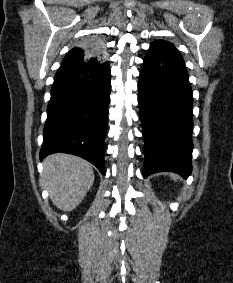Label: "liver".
<instances>
[{"label":"liver","instance_id":"obj_1","mask_svg":"<svg viewBox=\"0 0 233 283\" xmlns=\"http://www.w3.org/2000/svg\"><path fill=\"white\" fill-rule=\"evenodd\" d=\"M92 165L77 156L55 153L43 160L41 184L49 192L52 203L60 210H74L94 182Z\"/></svg>","mask_w":233,"mask_h":283}]
</instances>
